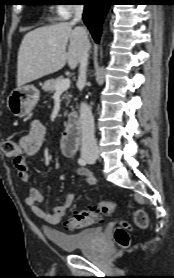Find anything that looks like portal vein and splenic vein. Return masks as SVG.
<instances>
[{
	"mask_svg": "<svg viewBox=\"0 0 174 278\" xmlns=\"http://www.w3.org/2000/svg\"><path fill=\"white\" fill-rule=\"evenodd\" d=\"M70 83H71V81L69 78L64 79L63 81H61L57 84L55 91L58 93V92H63L65 90L69 89Z\"/></svg>",
	"mask_w": 174,
	"mask_h": 278,
	"instance_id": "1",
	"label": "portal vein and splenic vein"
}]
</instances>
